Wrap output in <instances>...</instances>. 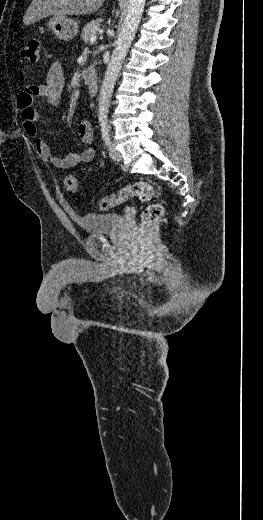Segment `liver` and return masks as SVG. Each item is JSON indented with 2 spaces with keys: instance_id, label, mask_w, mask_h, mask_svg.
<instances>
[{
  "instance_id": "6515ba94",
  "label": "liver",
  "mask_w": 263,
  "mask_h": 520,
  "mask_svg": "<svg viewBox=\"0 0 263 520\" xmlns=\"http://www.w3.org/2000/svg\"><path fill=\"white\" fill-rule=\"evenodd\" d=\"M105 0H32L23 22L33 24L50 15H88L95 13Z\"/></svg>"
}]
</instances>
